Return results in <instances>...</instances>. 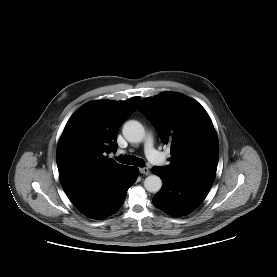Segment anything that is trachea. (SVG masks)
<instances>
[{
  "label": "trachea",
  "instance_id": "3493384b",
  "mask_svg": "<svg viewBox=\"0 0 277 277\" xmlns=\"http://www.w3.org/2000/svg\"><path fill=\"white\" fill-rule=\"evenodd\" d=\"M116 160L119 163L123 164H129V165H134L137 167H143L144 166V161L141 158L138 157H133L131 155H123V156H118Z\"/></svg>",
  "mask_w": 277,
  "mask_h": 277
}]
</instances>
